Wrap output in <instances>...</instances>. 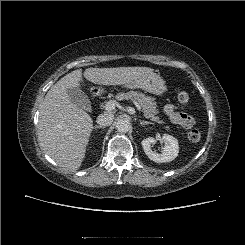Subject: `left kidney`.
I'll list each match as a JSON object with an SVG mask.
<instances>
[{"mask_svg":"<svg viewBox=\"0 0 245 245\" xmlns=\"http://www.w3.org/2000/svg\"><path fill=\"white\" fill-rule=\"evenodd\" d=\"M162 141L165 144L162 153L153 152L151 149V145L156 142L155 138L148 137L141 142L143 150L148 158L157 163L172 161L179 153L178 140L175 137L169 134H164L162 136Z\"/></svg>","mask_w":245,"mask_h":245,"instance_id":"5707ae66","label":"left kidney"}]
</instances>
